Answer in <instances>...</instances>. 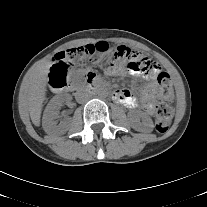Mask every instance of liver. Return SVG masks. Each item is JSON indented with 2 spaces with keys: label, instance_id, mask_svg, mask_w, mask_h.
Listing matches in <instances>:
<instances>
[{
  "label": "liver",
  "instance_id": "1",
  "mask_svg": "<svg viewBox=\"0 0 207 207\" xmlns=\"http://www.w3.org/2000/svg\"><path fill=\"white\" fill-rule=\"evenodd\" d=\"M50 67L51 61L47 60L32 69L25 77L21 87V97L28 106L32 123L35 126L40 125Z\"/></svg>",
  "mask_w": 207,
  "mask_h": 207
}]
</instances>
